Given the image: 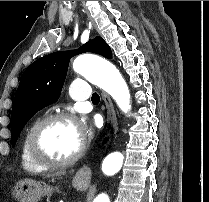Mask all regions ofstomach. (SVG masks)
Instances as JSON below:
<instances>
[{
  "instance_id": "0dacf381",
  "label": "stomach",
  "mask_w": 209,
  "mask_h": 202,
  "mask_svg": "<svg viewBox=\"0 0 209 202\" xmlns=\"http://www.w3.org/2000/svg\"><path fill=\"white\" fill-rule=\"evenodd\" d=\"M73 185L76 189L85 191L89 187V181L75 176ZM55 190L58 188L46 184L42 185L32 179H22L15 184L13 193L19 202H38L42 196H49Z\"/></svg>"
}]
</instances>
